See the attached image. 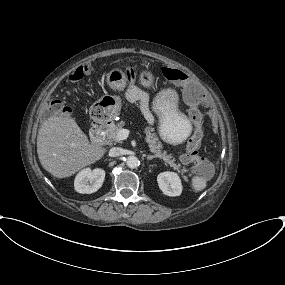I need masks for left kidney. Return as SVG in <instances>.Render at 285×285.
<instances>
[{"label": "left kidney", "instance_id": "left-kidney-1", "mask_svg": "<svg viewBox=\"0 0 285 285\" xmlns=\"http://www.w3.org/2000/svg\"><path fill=\"white\" fill-rule=\"evenodd\" d=\"M159 188L167 196H179L182 192V184L175 172H163L157 176Z\"/></svg>", "mask_w": 285, "mask_h": 285}]
</instances>
